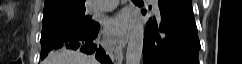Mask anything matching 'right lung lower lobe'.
<instances>
[{
    "mask_svg": "<svg viewBox=\"0 0 242 64\" xmlns=\"http://www.w3.org/2000/svg\"><path fill=\"white\" fill-rule=\"evenodd\" d=\"M98 31L99 26L91 33L74 37L66 41L54 43L41 52L40 59L43 60L50 51L57 48H68L73 50H80L86 54H95L96 59L99 60L102 64H111L109 56H107L103 48L98 46L94 41L97 37Z\"/></svg>",
    "mask_w": 242,
    "mask_h": 64,
    "instance_id": "1",
    "label": "right lung lower lobe"
}]
</instances>
